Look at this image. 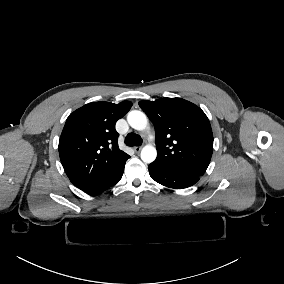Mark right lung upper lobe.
Segmentation results:
<instances>
[{
  "instance_id": "obj_1",
  "label": "right lung upper lobe",
  "mask_w": 284,
  "mask_h": 284,
  "mask_svg": "<svg viewBox=\"0 0 284 284\" xmlns=\"http://www.w3.org/2000/svg\"><path fill=\"white\" fill-rule=\"evenodd\" d=\"M131 106L130 101L93 102L67 118L59 139V155L67 176L79 189L87 193L95 189L130 157L118 147L115 124Z\"/></svg>"
}]
</instances>
